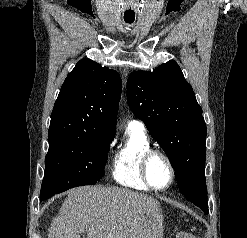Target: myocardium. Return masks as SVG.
<instances>
[{"label": "myocardium", "instance_id": "obj_1", "mask_svg": "<svg viewBox=\"0 0 247 238\" xmlns=\"http://www.w3.org/2000/svg\"><path fill=\"white\" fill-rule=\"evenodd\" d=\"M155 156H160L161 158H163L169 169H170V180L168 182L167 185L163 186V187H156L155 185L152 184L150 178H149V174H148V167H149V163L151 161V159ZM140 172H141V176L142 179L144 180L145 184L152 190H156V191H164L167 190L168 188H170L172 186V184L175 181L176 178V169L174 166V163L172 161V159L170 158V156L159 149H149L143 156L142 160H141V164H140Z\"/></svg>", "mask_w": 247, "mask_h": 238}]
</instances>
